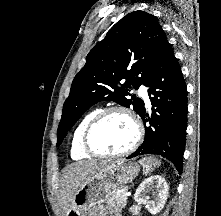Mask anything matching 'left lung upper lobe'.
<instances>
[{
	"label": "left lung upper lobe",
	"instance_id": "obj_1",
	"mask_svg": "<svg viewBox=\"0 0 221 216\" xmlns=\"http://www.w3.org/2000/svg\"><path fill=\"white\" fill-rule=\"evenodd\" d=\"M167 44L166 34L152 14L138 10L117 22L89 52L72 82L57 130V146L83 113L101 100L131 106L140 115L143 100L126 96L141 84L147 86Z\"/></svg>",
	"mask_w": 221,
	"mask_h": 216
}]
</instances>
